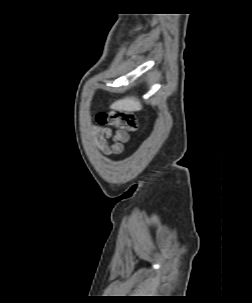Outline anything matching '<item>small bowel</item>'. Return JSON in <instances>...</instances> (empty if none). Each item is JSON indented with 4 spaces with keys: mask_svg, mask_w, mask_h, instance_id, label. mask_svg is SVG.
I'll return each instance as SVG.
<instances>
[{
    "mask_svg": "<svg viewBox=\"0 0 252 303\" xmlns=\"http://www.w3.org/2000/svg\"><path fill=\"white\" fill-rule=\"evenodd\" d=\"M89 136L97 150L110 156L123 152L129 133L125 130L113 131L110 128L94 127Z\"/></svg>",
    "mask_w": 252,
    "mask_h": 303,
    "instance_id": "small-bowel-1",
    "label": "small bowel"
}]
</instances>
